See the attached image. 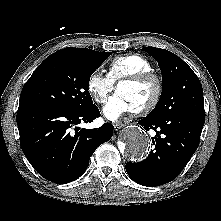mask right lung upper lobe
<instances>
[{
    "label": "right lung upper lobe",
    "mask_w": 221,
    "mask_h": 221,
    "mask_svg": "<svg viewBox=\"0 0 221 221\" xmlns=\"http://www.w3.org/2000/svg\"><path fill=\"white\" fill-rule=\"evenodd\" d=\"M60 53L72 54L80 57H93L98 55L97 51L87 49V48H66L58 51Z\"/></svg>",
    "instance_id": "cb5924a9"
}]
</instances>
